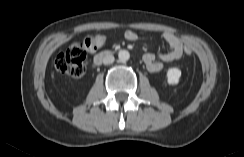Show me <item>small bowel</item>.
I'll use <instances>...</instances> for the list:
<instances>
[{
    "instance_id": "c3829d8e",
    "label": "small bowel",
    "mask_w": 244,
    "mask_h": 157,
    "mask_svg": "<svg viewBox=\"0 0 244 157\" xmlns=\"http://www.w3.org/2000/svg\"><path fill=\"white\" fill-rule=\"evenodd\" d=\"M124 36L128 41H136L138 39L137 33L133 30H127ZM162 39L168 46V52L158 54L146 53L143 56V61L151 73L162 71L164 64L180 59L183 54V45L174 34L164 33Z\"/></svg>"
}]
</instances>
